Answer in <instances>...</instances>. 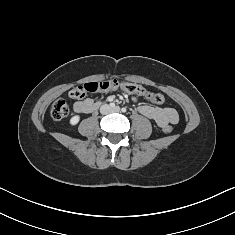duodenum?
<instances>
[{"instance_id":"duodenum-1","label":"duodenum","mask_w":235,"mask_h":235,"mask_svg":"<svg viewBox=\"0 0 235 235\" xmlns=\"http://www.w3.org/2000/svg\"><path fill=\"white\" fill-rule=\"evenodd\" d=\"M98 107H99V105H98V104L93 105V106L91 107V112H93V111L97 110V109H98Z\"/></svg>"}]
</instances>
